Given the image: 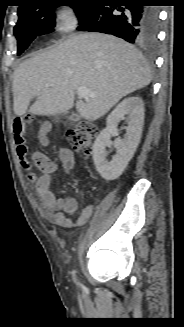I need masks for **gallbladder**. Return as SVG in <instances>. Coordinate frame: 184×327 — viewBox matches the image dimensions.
<instances>
[{
    "label": "gallbladder",
    "instance_id": "obj_1",
    "mask_svg": "<svg viewBox=\"0 0 184 327\" xmlns=\"http://www.w3.org/2000/svg\"><path fill=\"white\" fill-rule=\"evenodd\" d=\"M79 118H80L79 115H77L75 113H72L69 117V119L72 121H77Z\"/></svg>",
    "mask_w": 184,
    "mask_h": 327
}]
</instances>
